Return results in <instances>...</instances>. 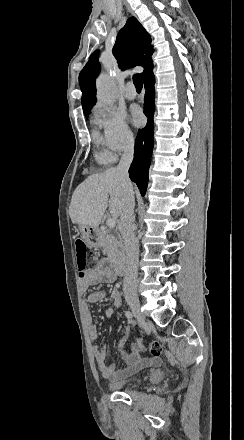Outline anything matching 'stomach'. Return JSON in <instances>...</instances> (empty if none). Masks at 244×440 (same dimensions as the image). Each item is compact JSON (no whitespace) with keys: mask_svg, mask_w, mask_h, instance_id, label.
I'll return each mask as SVG.
<instances>
[{"mask_svg":"<svg viewBox=\"0 0 244 440\" xmlns=\"http://www.w3.org/2000/svg\"><path fill=\"white\" fill-rule=\"evenodd\" d=\"M78 230L82 240L86 242L89 248H98L101 232L97 226H83V224H78Z\"/></svg>","mask_w":244,"mask_h":440,"instance_id":"obj_1","label":"stomach"}]
</instances>
